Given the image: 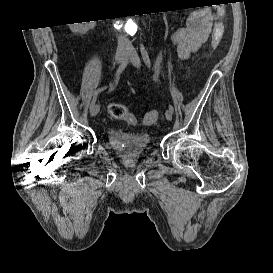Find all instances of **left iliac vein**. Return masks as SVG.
<instances>
[{"instance_id":"obj_1","label":"left iliac vein","mask_w":273,"mask_h":273,"mask_svg":"<svg viewBox=\"0 0 273 273\" xmlns=\"http://www.w3.org/2000/svg\"><path fill=\"white\" fill-rule=\"evenodd\" d=\"M127 56H128V58H129L132 65H134L137 68L140 67L141 63H140L139 56H138L136 50L133 47H131L129 49ZM165 116H166L167 120H169V121L172 120V113H171L170 110H166Z\"/></svg>"}]
</instances>
